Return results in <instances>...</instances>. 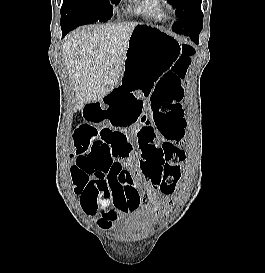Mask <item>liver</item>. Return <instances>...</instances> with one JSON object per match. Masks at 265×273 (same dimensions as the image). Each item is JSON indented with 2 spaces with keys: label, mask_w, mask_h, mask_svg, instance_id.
I'll use <instances>...</instances> for the list:
<instances>
[{
  "label": "liver",
  "mask_w": 265,
  "mask_h": 273,
  "mask_svg": "<svg viewBox=\"0 0 265 273\" xmlns=\"http://www.w3.org/2000/svg\"><path fill=\"white\" fill-rule=\"evenodd\" d=\"M137 25L126 22L87 27L64 42L65 67L74 86L77 109L103 99L118 85L129 39Z\"/></svg>",
  "instance_id": "6515ba94"
}]
</instances>
